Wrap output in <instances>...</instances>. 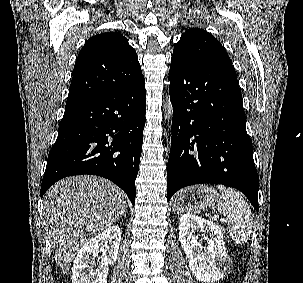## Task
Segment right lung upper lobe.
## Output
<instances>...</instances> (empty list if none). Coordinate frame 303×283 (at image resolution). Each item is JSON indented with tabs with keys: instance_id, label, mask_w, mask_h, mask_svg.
<instances>
[{
	"instance_id": "1",
	"label": "right lung upper lobe",
	"mask_w": 303,
	"mask_h": 283,
	"mask_svg": "<svg viewBox=\"0 0 303 283\" xmlns=\"http://www.w3.org/2000/svg\"><path fill=\"white\" fill-rule=\"evenodd\" d=\"M143 77L135 50L120 32L95 35L78 54L65 107L119 91Z\"/></svg>"
}]
</instances>
